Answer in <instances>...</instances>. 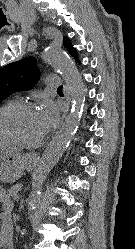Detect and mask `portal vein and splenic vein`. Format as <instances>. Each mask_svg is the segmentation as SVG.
<instances>
[{"label": "portal vein and splenic vein", "mask_w": 135, "mask_h": 249, "mask_svg": "<svg viewBox=\"0 0 135 249\" xmlns=\"http://www.w3.org/2000/svg\"><path fill=\"white\" fill-rule=\"evenodd\" d=\"M13 199H14V201H18L19 197L15 196Z\"/></svg>", "instance_id": "18ae733b"}]
</instances>
